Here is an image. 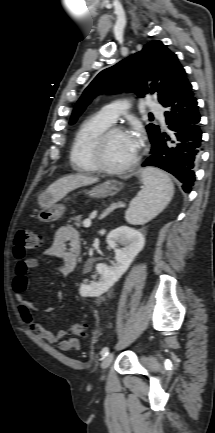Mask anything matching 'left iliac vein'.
Wrapping results in <instances>:
<instances>
[{"label": "left iliac vein", "mask_w": 215, "mask_h": 433, "mask_svg": "<svg viewBox=\"0 0 215 433\" xmlns=\"http://www.w3.org/2000/svg\"><path fill=\"white\" fill-rule=\"evenodd\" d=\"M113 353L108 354L107 356H105V358L103 359L102 363H101V368L102 371L105 372L109 366L111 365L112 361H113Z\"/></svg>", "instance_id": "1"}]
</instances>
